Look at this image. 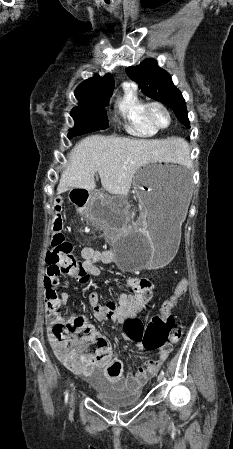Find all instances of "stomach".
<instances>
[{"label":"stomach","mask_w":233,"mask_h":449,"mask_svg":"<svg viewBox=\"0 0 233 449\" xmlns=\"http://www.w3.org/2000/svg\"><path fill=\"white\" fill-rule=\"evenodd\" d=\"M190 178L182 165H145L133 179V193L145 212L138 226L132 228V212H118L128 203L117 197H91L88 206H78L93 224L120 227L122 233L111 245L115 262L121 270L157 269L176 255L181 223L192 199Z\"/></svg>","instance_id":"obj_1"}]
</instances>
